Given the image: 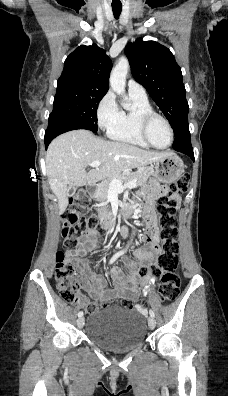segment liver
<instances>
[{"label":"liver","mask_w":228,"mask_h":396,"mask_svg":"<svg viewBox=\"0 0 228 396\" xmlns=\"http://www.w3.org/2000/svg\"><path fill=\"white\" fill-rule=\"evenodd\" d=\"M170 154L103 140L84 129L58 136L48 147L46 169L50 188L58 199L59 213L67 208L71 186L95 185L106 178L115 179L125 170L144 167ZM97 160L101 165L86 172V167Z\"/></svg>","instance_id":"6515ba94"}]
</instances>
